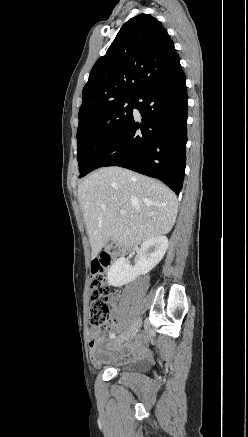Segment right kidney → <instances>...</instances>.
Wrapping results in <instances>:
<instances>
[{
  "label": "right kidney",
  "mask_w": 248,
  "mask_h": 437,
  "mask_svg": "<svg viewBox=\"0 0 248 437\" xmlns=\"http://www.w3.org/2000/svg\"><path fill=\"white\" fill-rule=\"evenodd\" d=\"M168 249L166 236L144 241L137 252L134 267L124 257L117 259L110 267L107 279L110 285L120 287L134 281L140 275L150 272L164 257Z\"/></svg>",
  "instance_id": "ca27d5eb"
}]
</instances>
